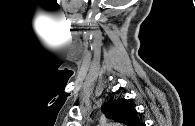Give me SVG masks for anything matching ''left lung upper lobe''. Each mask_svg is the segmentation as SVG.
<instances>
[{
	"label": "left lung upper lobe",
	"instance_id": "5c2ea615",
	"mask_svg": "<svg viewBox=\"0 0 195 126\" xmlns=\"http://www.w3.org/2000/svg\"><path fill=\"white\" fill-rule=\"evenodd\" d=\"M102 111L106 117L126 126H139L141 124L137 111L129 105L126 99L108 101L102 105Z\"/></svg>",
	"mask_w": 195,
	"mask_h": 126
}]
</instances>
